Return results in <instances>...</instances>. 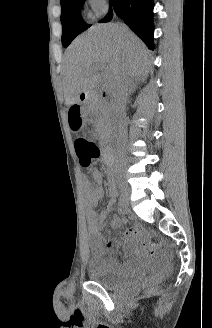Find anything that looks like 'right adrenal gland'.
Listing matches in <instances>:
<instances>
[{
  "label": "right adrenal gland",
  "mask_w": 212,
  "mask_h": 328,
  "mask_svg": "<svg viewBox=\"0 0 212 328\" xmlns=\"http://www.w3.org/2000/svg\"><path fill=\"white\" fill-rule=\"evenodd\" d=\"M136 88H137V82H134L133 79L130 80V83H129V95L133 92L136 91Z\"/></svg>",
  "instance_id": "right-adrenal-gland-1"
}]
</instances>
